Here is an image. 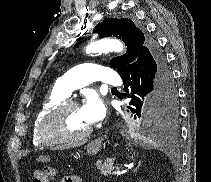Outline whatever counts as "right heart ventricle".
<instances>
[{"label": "right heart ventricle", "instance_id": "e07e8e85", "mask_svg": "<svg viewBox=\"0 0 211 182\" xmlns=\"http://www.w3.org/2000/svg\"><path fill=\"white\" fill-rule=\"evenodd\" d=\"M65 99H66V96H64L55 88L47 95V97L42 102L39 110L37 111L33 119L32 128H31L32 143L35 146L43 145L38 135V128L40 126L42 119L54 106H56L58 103H60L61 101Z\"/></svg>", "mask_w": 211, "mask_h": 182}]
</instances>
